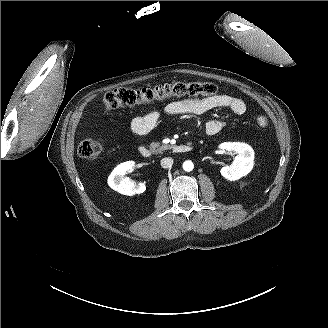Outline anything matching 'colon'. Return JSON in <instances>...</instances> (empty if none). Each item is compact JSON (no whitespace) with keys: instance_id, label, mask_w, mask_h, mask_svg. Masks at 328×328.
<instances>
[{"instance_id":"colon-1","label":"colon","mask_w":328,"mask_h":328,"mask_svg":"<svg viewBox=\"0 0 328 328\" xmlns=\"http://www.w3.org/2000/svg\"><path fill=\"white\" fill-rule=\"evenodd\" d=\"M218 93V87L210 82H177L158 85L152 88L130 89L116 88L109 91L104 97V105L108 110L122 106H136L160 102L174 96H204L212 97ZM256 123L261 128L268 126L265 116H258ZM103 150L101 143L86 138L80 141L78 153L86 159L97 158Z\"/></svg>"}]
</instances>
